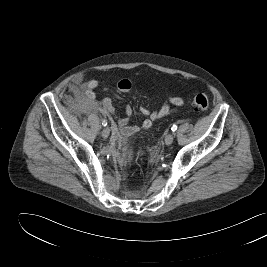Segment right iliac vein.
<instances>
[{
  "label": "right iliac vein",
  "mask_w": 267,
  "mask_h": 267,
  "mask_svg": "<svg viewBox=\"0 0 267 267\" xmlns=\"http://www.w3.org/2000/svg\"><path fill=\"white\" fill-rule=\"evenodd\" d=\"M101 134H102V137H103L104 139L108 138V136H109V134H110V130H109V128H108V127H105V128L102 130Z\"/></svg>",
  "instance_id": "right-iliac-vein-1"
}]
</instances>
